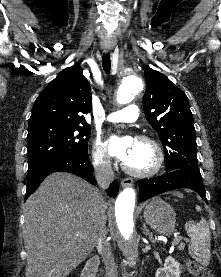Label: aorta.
I'll return each instance as SVG.
<instances>
[{"mask_svg": "<svg viewBox=\"0 0 221 277\" xmlns=\"http://www.w3.org/2000/svg\"><path fill=\"white\" fill-rule=\"evenodd\" d=\"M144 84L136 74L126 75L120 82L116 100L119 104H127L134 99L136 93L143 90ZM136 193L132 187L123 189L115 200L112 219V231L123 254L134 260L138 254V237L135 228L134 208Z\"/></svg>", "mask_w": 221, "mask_h": 277, "instance_id": "aorta-1", "label": "aorta"}]
</instances>
